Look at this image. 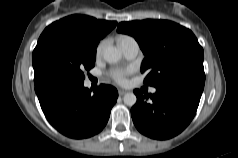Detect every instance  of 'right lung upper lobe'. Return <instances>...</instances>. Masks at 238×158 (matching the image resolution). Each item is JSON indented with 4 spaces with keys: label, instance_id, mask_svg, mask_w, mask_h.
I'll return each mask as SVG.
<instances>
[{
    "label": "right lung upper lobe",
    "instance_id": "right-lung-upper-lobe-1",
    "mask_svg": "<svg viewBox=\"0 0 238 158\" xmlns=\"http://www.w3.org/2000/svg\"><path fill=\"white\" fill-rule=\"evenodd\" d=\"M53 26L79 30L99 42L116 25V21L97 20L85 15H71L52 23Z\"/></svg>",
    "mask_w": 238,
    "mask_h": 158
}]
</instances>
